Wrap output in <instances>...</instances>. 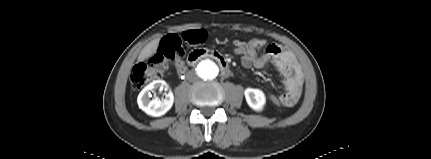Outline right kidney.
Wrapping results in <instances>:
<instances>
[{"label": "right kidney", "instance_id": "1", "mask_svg": "<svg viewBox=\"0 0 431 159\" xmlns=\"http://www.w3.org/2000/svg\"><path fill=\"white\" fill-rule=\"evenodd\" d=\"M168 89V85L164 80H155L147 85L138 95L137 103L140 109H142L146 114L159 117L167 113L173 103L174 96L171 91L165 95V98L159 99L158 97L150 99L151 92H155L157 89L163 90Z\"/></svg>", "mask_w": 431, "mask_h": 159}]
</instances>
